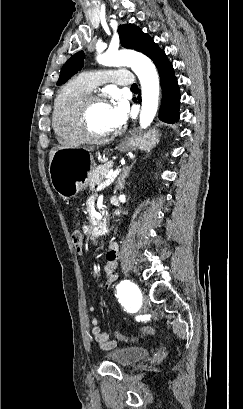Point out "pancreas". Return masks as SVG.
<instances>
[{
  "mask_svg": "<svg viewBox=\"0 0 243 409\" xmlns=\"http://www.w3.org/2000/svg\"><path fill=\"white\" fill-rule=\"evenodd\" d=\"M112 165L113 164L110 162L99 165L90 173L88 177V185L91 191H94L95 187L101 183V175L107 174L110 171Z\"/></svg>",
  "mask_w": 243,
  "mask_h": 409,
  "instance_id": "1",
  "label": "pancreas"
}]
</instances>
